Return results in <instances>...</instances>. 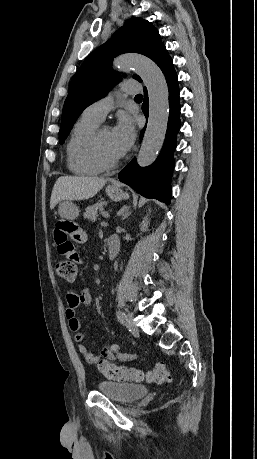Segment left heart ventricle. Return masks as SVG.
Here are the masks:
<instances>
[{"label":"left heart ventricle","instance_id":"b2bd125f","mask_svg":"<svg viewBox=\"0 0 257 459\" xmlns=\"http://www.w3.org/2000/svg\"><path fill=\"white\" fill-rule=\"evenodd\" d=\"M100 146L103 155L109 159H116L120 157L115 149L113 137H112V130L110 128H106L100 137Z\"/></svg>","mask_w":257,"mask_h":459}]
</instances>
